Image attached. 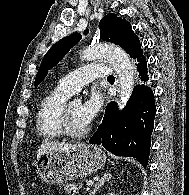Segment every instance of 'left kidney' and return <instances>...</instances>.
<instances>
[{"instance_id": "1", "label": "left kidney", "mask_w": 189, "mask_h": 195, "mask_svg": "<svg viewBox=\"0 0 189 195\" xmlns=\"http://www.w3.org/2000/svg\"><path fill=\"white\" fill-rule=\"evenodd\" d=\"M109 195H115L114 193H111V194H109Z\"/></svg>"}]
</instances>
